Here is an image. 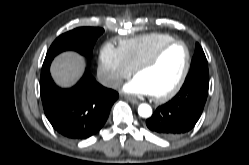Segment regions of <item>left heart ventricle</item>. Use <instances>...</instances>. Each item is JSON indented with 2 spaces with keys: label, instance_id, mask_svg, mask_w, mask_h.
I'll return each instance as SVG.
<instances>
[{
  "label": "left heart ventricle",
  "instance_id": "obj_1",
  "mask_svg": "<svg viewBox=\"0 0 249 165\" xmlns=\"http://www.w3.org/2000/svg\"><path fill=\"white\" fill-rule=\"evenodd\" d=\"M186 62V50L180 45L168 48L159 61L137 74L151 95H161L171 90L180 78Z\"/></svg>",
  "mask_w": 249,
  "mask_h": 165
}]
</instances>
